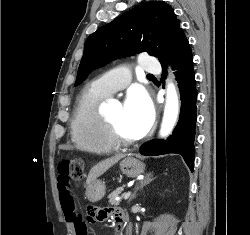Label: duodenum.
<instances>
[{
  "label": "duodenum",
  "instance_id": "duodenum-1",
  "mask_svg": "<svg viewBox=\"0 0 250 235\" xmlns=\"http://www.w3.org/2000/svg\"><path fill=\"white\" fill-rule=\"evenodd\" d=\"M124 220H125V217H124V215L121 213L120 214V216H119V218H118V223H122V222H124Z\"/></svg>",
  "mask_w": 250,
  "mask_h": 235
}]
</instances>
